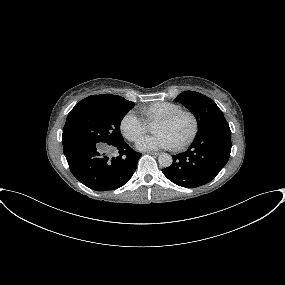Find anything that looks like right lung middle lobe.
<instances>
[{
  "label": "right lung middle lobe",
  "mask_w": 285,
  "mask_h": 285,
  "mask_svg": "<svg viewBox=\"0 0 285 285\" xmlns=\"http://www.w3.org/2000/svg\"><path fill=\"white\" fill-rule=\"evenodd\" d=\"M133 106L121 96L77 103L67 116L62 143L113 145L123 141L120 123Z\"/></svg>",
  "instance_id": "1"
}]
</instances>
